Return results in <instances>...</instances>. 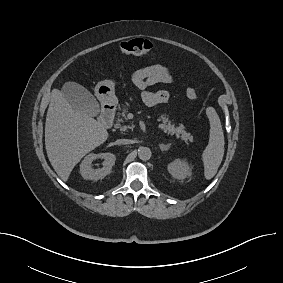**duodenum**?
Returning a JSON list of instances; mask_svg holds the SVG:
<instances>
[{
	"label": "duodenum",
	"instance_id": "1",
	"mask_svg": "<svg viewBox=\"0 0 283 283\" xmlns=\"http://www.w3.org/2000/svg\"><path fill=\"white\" fill-rule=\"evenodd\" d=\"M114 107L112 105H105L100 114V124L103 128H110L114 120Z\"/></svg>",
	"mask_w": 283,
	"mask_h": 283
}]
</instances>
